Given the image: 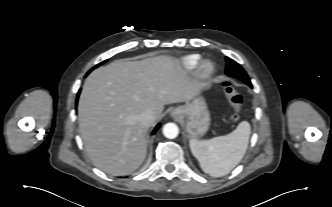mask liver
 Instances as JSON below:
<instances>
[{
  "label": "liver",
  "mask_w": 332,
  "mask_h": 207,
  "mask_svg": "<svg viewBox=\"0 0 332 207\" xmlns=\"http://www.w3.org/2000/svg\"><path fill=\"white\" fill-rule=\"evenodd\" d=\"M199 90L170 56L115 60L93 71L78 104L80 134L92 163L113 176L135 171L147 151L148 126L139 116L151 111L157 121L164 105L188 102Z\"/></svg>",
  "instance_id": "liver-1"
}]
</instances>
